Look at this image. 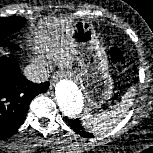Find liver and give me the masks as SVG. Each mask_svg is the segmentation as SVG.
Instances as JSON below:
<instances>
[{
  "mask_svg": "<svg viewBox=\"0 0 153 153\" xmlns=\"http://www.w3.org/2000/svg\"><path fill=\"white\" fill-rule=\"evenodd\" d=\"M73 21L71 19L55 20V24L41 29L36 37L35 49L50 52L63 67H69L76 59L74 40L72 39Z\"/></svg>",
  "mask_w": 153,
  "mask_h": 153,
  "instance_id": "1",
  "label": "liver"
}]
</instances>
